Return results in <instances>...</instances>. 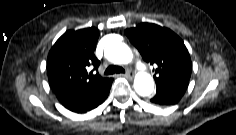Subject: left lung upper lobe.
Returning <instances> with one entry per match:
<instances>
[{
    "instance_id": "obj_1",
    "label": "left lung upper lobe",
    "mask_w": 236,
    "mask_h": 135,
    "mask_svg": "<svg viewBox=\"0 0 236 135\" xmlns=\"http://www.w3.org/2000/svg\"><path fill=\"white\" fill-rule=\"evenodd\" d=\"M130 42L143 59L155 64L156 85L172 82H188L192 64L182 39L168 28L152 23H142L125 30Z\"/></svg>"
}]
</instances>
